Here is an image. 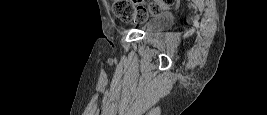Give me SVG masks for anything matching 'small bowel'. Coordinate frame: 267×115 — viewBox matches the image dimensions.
<instances>
[{
  "label": "small bowel",
  "instance_id": "obj_1",
  "mask_svg": "<svg viewBox=\"0 0 267 115\" xmlns=\"http://www.w3.org/2000/svg\"><path fill=\"white\" fill-rule=\"evenodd\" d=\"M171 3H164L163 5H165V6H169Z\"/></svg>",
  "mask_w": 267,
  "mask_h": 115
}]
</instances>
